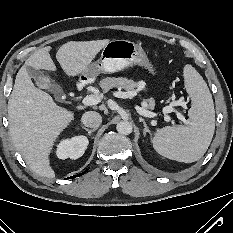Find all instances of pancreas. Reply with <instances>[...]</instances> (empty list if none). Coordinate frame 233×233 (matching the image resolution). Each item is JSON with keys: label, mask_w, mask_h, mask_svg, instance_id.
Instances as JSON below:
<instances>
[{"label": "pancreas", "mask_w": 233, "mask_h": 233, "mask_svg": "<svg viewBox=\"0 0 233 233\" xmlns=\"http://www.w3.org/2000/svg\"><path fill=\"white\" fill-rule=\"evenodd\" d=\"M142 82H134L128 78L123 77H106L102 79L99 83V86L103 89V91L107 92L112 88H117L119 90L124 89L126 91H132L142 85ZM149 108L154 106V100L149 99Z\"/></svg>", "instance_id": "pancreas-1"}]
</instances>
